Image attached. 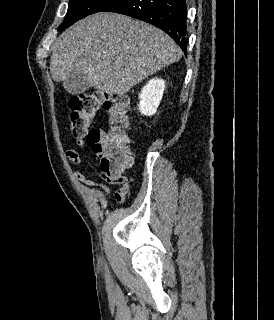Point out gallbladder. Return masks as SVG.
<instances>
[{
  "label": "gallbladder",
  "mask_w": 274,
  "mask_h": 320,
  "mask_svg": "<svg viewBox=\"0 0 274 320\" xmlns=\"http://www.w3.org/2000/svg\"><path fill=\"white\" fill-rule=\"evenodd\" d=\"M67 77L64 78V85L68 95H83L85 90L90 89L89 80L85 78V68H72Z\"/></svg>",
  "instance_id": "obj_1"
}]
</instances>
